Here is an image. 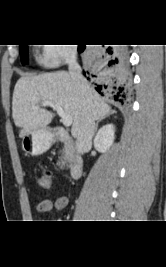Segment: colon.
Wrapping results in <instances>:
<instances>
[{
	"mask_svg": "<svg viewBox=\"0 0 166 267\" xmlns=\"http://www.w3.org/2000/svg\"><path fill=\"white\" fill-rule=\"evenodd\" d=\"M38 183L43 188H48L51 184V175L48 171L43 170L38 176Z\"/></svg>",
	"mask_w": 166,
	"mask_h": 267,
	"instance_id": "5ec220e1",
	"label": "colon"
}]
</instances>
